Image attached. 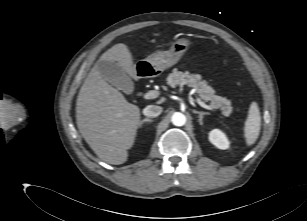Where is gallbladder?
<instances>
[{
    "label": "gallbladder",
    "instance_id": "obj_1",
    "mask_svg": "<svg viewBox=\"0 0 307 221\" xmlns=\"http://www.w3.org/2000/svg\"><path fill=\"white\" fill-rule=\"evenodd\" d=\"M96 65L102 77L107 82L122 90L124 93H132L134 88L133 82L117 62L99 60Z\"/></svg>",
    "mask_w": 307,
    "mask_h": 221
}]
</instances>
